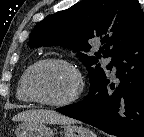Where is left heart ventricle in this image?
Wrapping results in <instances>:
<instances>
[{
	"label": "left heart ventricle",
	"instance_id": "b2bd125f",
	"mask_svg": "<svg viewBox=\"0 0 144 137\" xmlns=\"http://www.w3.org/2000/svg\"><path fill=\"white\" fill-rule=\"evenodd\" d=\"M76 87L77 79L74 73L60 65H43L32 75V91L37 97L44 100H65L74 93Z\"/></svg>",
	"mask_w": 144,
	"mask_h": 137
}]
</instances>
